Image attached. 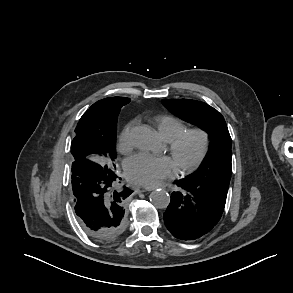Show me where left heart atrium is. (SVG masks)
<instances>
[{
	"instance_id": "obj_1",
	"label": "left heart atrium",
	"mask_w": 293,
	"mask_h": 293,
	"mask_svg": "<svg viewBox=\"0 0 293 293\" xmlns=\"http://www.w3.org/2000/svg\"><path fill=\"white\" fill-rule=\"evenodd\" d=\"M175 165L171 158L139 153L126 162L128 178L137 184L154 186L172 176Z\"/></svg>"
}]
</instances>
